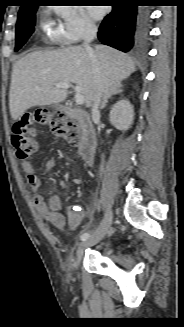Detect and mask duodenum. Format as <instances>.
<instances>
[{"label": "duodenum", "instance_id": "1", "mask_svg": "<svg viewBox=\"0 0 184 327\" xmlns=\"http://www.w3.org/2000/svg\"><path fill=\"white\" fill-rule=\"evenodd\" d=\"M62 111L67 116L77 121L82 132V140L79 144V155L85 164H91L95 156L97 137L89 113L69 105H64Z\"/></svg>", "mask_w": 184, "mask_h": 327}]
</instances>
